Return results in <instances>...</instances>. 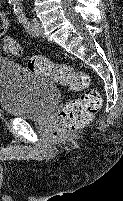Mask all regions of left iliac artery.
Listing matches in <instances>:
<instances>
[{"instance_id":"left-iliac-artery-1","label":"left iliac artery","mask_w":123,"mask_h":201,"mask_svg":"<svg viewBox=\"0 0 123 201\" xmlns=\"http://www.w3.org/2000/svg\"><path fill=\"white\" fill-rule=\"evenodd\" d=\"M13 9H14V13L17 16L19 22H21L25 28V30L31 34L34 35V27L31 24V22L27 19L26 14L23 10L22 4L17 1L14 5H13Z\"/></svg>"}]
</instances>
